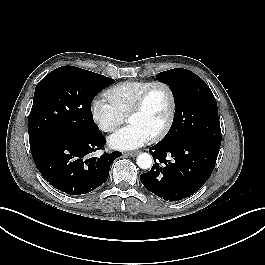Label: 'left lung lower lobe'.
Masks as SVG:
<instances>
[{
	"mask_svg": "<svg viewBox=\"0 0 265 265\" xmlns=\"http://www.w3.org/2000/svg\"><path fill=\"white\" fill-rule=\"evenodd\" d=\"M220 144L200 137L159 142L150 147L155 164L140 175L145 188L169 201L186 198L209 179Z\"/></svg>",
	"mask_w": 265,
	"mask_h": 265,
	"instance_id": "0a47b994",
	"label": "left lung lower lobe"
}]
</instances>
